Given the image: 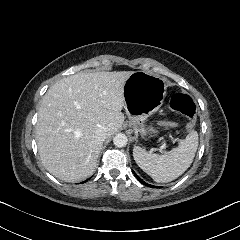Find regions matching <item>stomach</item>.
I'll return each instance as SVG.
<instances>
[{"mask_svg": "<svg viewBox=\"0 0 240 240\" xmlns=\"http://www.w3.org/2000/svg\"><path fill=\"white\" fill-rule=\"evenodd\" d=\"M166 89V78L145 71H135L127 79L124 86V108L130 124L137 128L142 136L149 132V127L144 123L162 106Z\"/></svg>", "mask_w": 240, "mask_h": 240, "instance_id": "0dacf381", "label": "stomach"}]
</instances>
